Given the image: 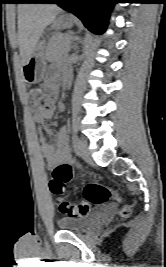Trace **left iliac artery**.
<instances>
[{"label":"left iliac artery","instance_id":"1","mask_svg":"<svg viewBox=\"0 0 166 267\" xmlns=\"http://www.w3.org/2000/svg\"><path fill=\"white\" fill-rule=\"evenodd\" d=\"M77 139L78 138L75 135L72 136V141H73V145H74L75 150H76ZM76 152H77V150H76ZM77 154H78V152H77Z\"/></svg>","mask_w":166,"mask_h":267}]
</instances>
